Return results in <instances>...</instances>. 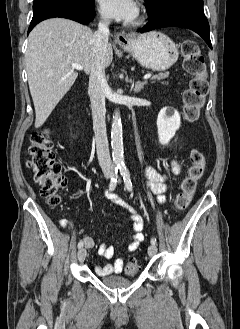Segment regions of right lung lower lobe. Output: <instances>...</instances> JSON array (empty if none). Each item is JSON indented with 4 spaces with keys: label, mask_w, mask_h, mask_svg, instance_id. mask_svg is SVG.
Listing matches in <instances>:
<instances>
[{
    "label": "right lung lower lobe",
    "mask_w": 240,
    "mask_h": 329,
    "mask_svg": "<svg viewBox=\"0 0 240 329\" xmlns=\"http://www.w3.org/2000/svg\"><path fill=\"white\" fill-rule=\"evenodd\" d=\"M67 18L87 25L94 18V3L89 6H75L61 2L41 1L33 4V18L28 33L39 22L48 18Z\"/></svg>",
    "instance_id": "right-lung-lower-lobe-1"
}]
</instances>
